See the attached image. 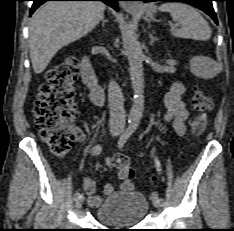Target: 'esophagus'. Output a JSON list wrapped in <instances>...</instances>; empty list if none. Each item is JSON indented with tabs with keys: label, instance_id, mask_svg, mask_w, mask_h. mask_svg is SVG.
<instances>
[{
	"label": "esophagus",
	"instance_id": "1",
	"mask_svg": "<svg viewBox=\"0 0 234 231\" xmlns=\"http://www.w3.org/2000/svg\"><path fill=\"white\" fill-rule=\"evenodd\" d=\"M124 9L127 10V11H131V10H134V9H138L139 6L136 5V4H124L123 5Z\"/></svg>",
	"mask_w": 234,
	"mask_h": 231
}]
</instances>
